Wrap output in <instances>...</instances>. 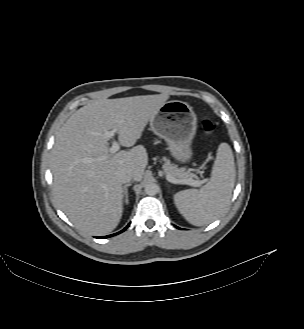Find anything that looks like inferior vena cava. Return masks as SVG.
Masks as SVG:
<instances>
[{
  "label": "inferior vena cava",
  "mask_w": 304,
  "mask_h": 329,
  "mask_svg": "<svg viewBox=\"0 0 304 329\" xmlns=\"http://www.w3.org/2000/svg\"><path fill=\"white\" fill-rule=\"evenodd\" d=\"M118 177H119V180L122 183H127V182H130L133 179V174L129 170H122L118 174Z\"/></svg>",
  "instance_id": "obj_1"
}]
</instances>
